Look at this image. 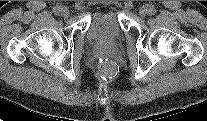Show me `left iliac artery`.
<instances>
[{"instance_id": "obj_1", "label": "left iliac artery", "mask_w": 207, "mask_h": 121, "mask_svg": "<svg viewBox=\"0 0 207 121\" xmlns=\"http://www.w3.org/2000/svg\"><path fill=\"white\" fill-rule=\"evenodd\" d=\"M148 12H149L150 15L155 13V8H154L153 5H149Z\"/></svg>"}]
</instances>
